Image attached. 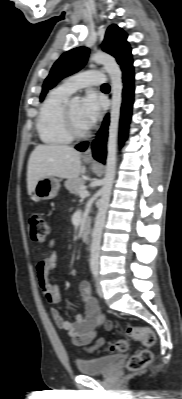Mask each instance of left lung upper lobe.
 I'll return each mask as SVG.
<instances>
[{
    "instance_id": "5c2ea615",
    "label": "left lung upper lobe",
    "mask_w": 182,
    "mask_h": 399,
    "mask_svg": "<svg viewBox=\"0 0 182 399\" xmlns=\"http://www.w3.org/2000/svg\"><path fill=\"white\" fill-rule=\"evenodd\" d=\"M127 34L118 26L111 25L106 31L102 43L103 51L114 56L122 71L132 67L131 49L126 41ZM89 49L78 47L65 52L53 65L46 78L40 101H43L47 91L53 88L61 79L80 70L86 63Z\"/></svg>"
}]
</instances>
